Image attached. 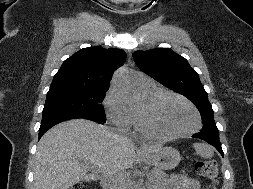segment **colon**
<instances>
[{
	"label": "colon",
	"mask_w": 253,
	"mask_h": 189,
	"mask_svg": "<svg viewBox=\"0 0 253 189\" xmlns=\"http://www.w3.org/2000/svg\"><path fill=\"white\" fill-rule=\"evenodd\" d=\"M194 168L198 175L209 182L207 189H216L218 182V167L212 160L196 159L194 160ZM71 189H86L82 183L75 184Z\"/></svg>",
	"instance_id": "colon-1"
}]
</instances>
